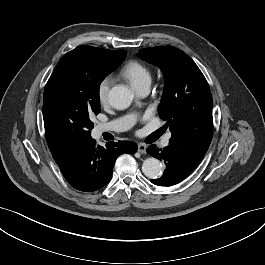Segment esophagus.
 <instances>
[{
  "instance_id": "esophagus-1",
  "label": "esophagus",
  "mask_w": 265,
  "mask_h": 265,
  "mask_svg": "<svg viewBox=\"0 0 265 265\" xmlns=\"http://www.w3.org/2000/svg\"><path fill=\"white\" fill-rule=\"evenodd\" d=\"M147 150V146L143 143L138 144V152L141 154H145Z\"/></svg>"
}]
</instances>
